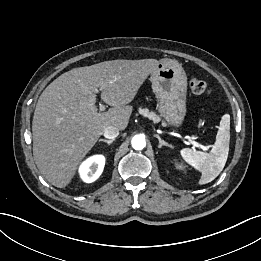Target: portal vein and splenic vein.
<instances>
[{"label": "portal vein and splenic vein", "instance_id": "obj_1", "mask_svg": "<svg viewBox=\"0 0 261 261\" xmlns=\"http://www.w3.org/2000/svg\"><path fill=\"white\" fill-rule=\"evenodd\" d=\"M105 105L103 104H99V110L102 112V111H105ZM188 141L194 146V147H197V148H200L204 151H208L209 150V147L207 146H204V145H201L199 144L198 142L194 141V140H191L190 138H187Z\"/></svg>", "mask_w": 261, "mask_h": 261}]
</instances>
